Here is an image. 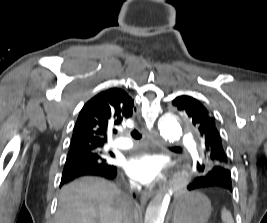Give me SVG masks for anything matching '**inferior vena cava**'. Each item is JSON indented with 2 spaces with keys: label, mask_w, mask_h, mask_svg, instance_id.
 <instances>
[{
  "label": "inferior vena cava",
  "mask_w": 267,
  "mask_h": 223,
  "mask_svg": "<svg viewBox=\"0 0 267 223\" xmlns=\"http://www.w3.org/2000/svg\"><path fill=\"white\" fill-rule=\"evenodd\" d=\"M131 189L132 190H135V189L139 190L140 185L137 183H134L131 185ZM126 200H127V205H126V209H125L124 215H123V223H133V220H134L133 202L129 196L126 197Z\"/></svg>",
  "instance_id": "obj_1"
}]
</instances>
